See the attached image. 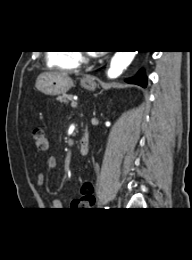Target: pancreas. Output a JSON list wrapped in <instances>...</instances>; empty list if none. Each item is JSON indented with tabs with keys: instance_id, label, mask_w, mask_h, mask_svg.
<instances>
[{
	"instance_id": "cf45deb5",
	"label": "pancreas",
	"mask_w": 192,
	"mask_h": 260,
	"mask_svg": "<svg viewBox=\"0 0 192 260\" xmlns=\"http://www.w3.org/2000/svg\"><path fill=\"white\" fill-rule=\"evenodd\" d=\"M71 99H72V95H68V94H63L58 97V101H60L61 103H68V101Z\"/></svg>"
}]
</instances>
